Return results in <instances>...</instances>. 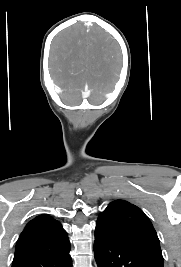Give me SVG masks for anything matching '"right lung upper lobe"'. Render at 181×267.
Masks as SVG:
<instances>
[{
	"instance_id": "cb5924a9",
	"label": "right lung upper lobe",
	"mask_w": 181,
	"mask_h": 267,
	"mask_svg": "<svg viewBox=\"0 0 181 267\" xmlns=\"http://www.w3.org/2000/svg\"><path fill=\"white\" fill-rule=\"evenodd\" d=\"M70 248V242L61 224L48 215L31 220L21 233L15 256L46 255Z\"/></svg>"
}]
</instances>
